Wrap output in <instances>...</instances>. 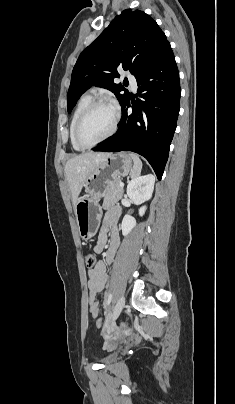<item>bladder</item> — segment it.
Wrapping results in <instances>:
<instances>
[{
	"label": "bladder",
	"mask_w": 235,
	"mask_h": 404,
	"mask_svg": "<svg viewBox=\"0 0 235 404\" xmlns=\"http://www.w3.org/2000/svg\"><path fill=\"white\" fill-rule=\"evenodd\" d=\"M116 356L114 353H111L102 359L104 364H110L115 360Z\"/></svg>",
	"instance_id": "1"
}]
</instances>
